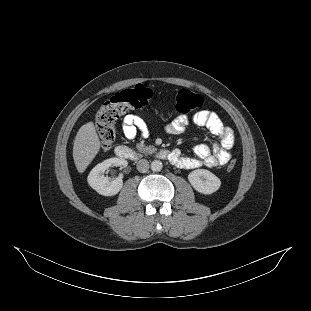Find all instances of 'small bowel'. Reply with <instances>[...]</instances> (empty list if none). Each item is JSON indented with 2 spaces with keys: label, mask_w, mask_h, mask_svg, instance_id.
I'll return each mask as SVG.
<instances>
[{
  "label": "small bowel",
  "mask_w": 311,
  "mask_h": 311,
  "mask_svg": "<svg viewBox=\"0 0 311 311\" xmlns=\"http://www.w3.org/2000/svg\"><path fill=\"white\" fill-rule=\"evenodd\" d=\"M189 124L208 129L213 135L218 137L219 141L214 144H198L194 147L193 157L181 156L180 152L175 150L173 164L184 169H194L201 166L209 168L225 165L231 158V152L235 144L233 130L227 127L220 120L218 115L208 110L198 111L190 116L180 115L172 120L167 131L171 134H181ZM123 134L128 139H134L138 132L143 137L148 136V130L145 121L133 114H128L123 119Z\"/></svg>",
  "instance_id": "obj_1"
}]
</instances>
